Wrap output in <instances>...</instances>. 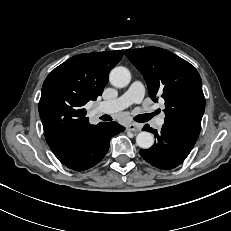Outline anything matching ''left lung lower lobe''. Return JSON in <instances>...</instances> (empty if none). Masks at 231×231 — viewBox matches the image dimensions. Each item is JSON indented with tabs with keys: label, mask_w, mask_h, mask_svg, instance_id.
I'll list each match as a JSON object with an SVG mask.
<instances>
[{
	"label": "left lung lower lobe",
	"mask_w": 231,
	"mask_h": 231,
	"mask_svg": "<svg viewBox=\"0 0 231 231\" xmlns=\"http://www.w3.org/2000/svg\"><path fill=\"white\" fill-rule=\"evenodd\" d=\"M143 130L153 133L157 141L151 148L141 149L140 155L151 165L163 170L180 165L189 155L197 140L166 124L160 132L148 124Z\"/></svg>",
	"instance_id": "1"
}]
</instances>
